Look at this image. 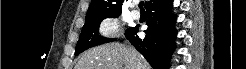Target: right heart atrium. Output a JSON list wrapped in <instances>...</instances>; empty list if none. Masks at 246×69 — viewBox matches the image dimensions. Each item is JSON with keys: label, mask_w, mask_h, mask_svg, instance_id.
Listing matches in <instances>:
<instances>
[{"label": "right heart atrium", "mask_w": 246, "mask_h": 69, "mask_svg": "<svg viewBox=\"0 0 246 69\" xmlns=\"http://www.w3.org/2000/svg\"><path fill=\"white\" fill-rule=\"evenodd\" d=\"M118 27L119 24L116 19L106 18L101 22L99 30L104 36H112L117 33Z\"/></svg>", "instance_id": "d8ad5b80"}]
</instances>
